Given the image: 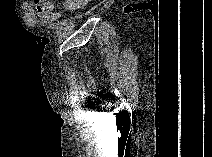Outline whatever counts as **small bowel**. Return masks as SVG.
<instances>
[{
  "mask_svg": "<svg viewBox=\"0 0 212 157\" xmlns=\"http://www.w3.org/2000/svg\"><path fill=\"white\" fill-rule=\"evenodd\" d=\"M85 4L84 0H65L62 3L63 11L72 12L82 8ZM36 12L38 17L45 22H54L62 15V12L58 9L57 0L38 1L36 3Z\"/></svg>",
  "mask_w": 212,
  "mask_h": 157,
  "instance_id": "1",
  "label": "small bowel"
}]
</instances>
